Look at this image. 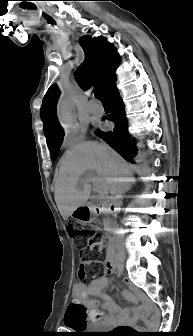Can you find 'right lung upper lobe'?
Here are the masks:
<instances>
[{"mask_svg": "<svg viewBox=\"0 0 193 336\" xmlns=\"http://www.w3.org/2000/svg\"><path fill=\"white\" fill-rule=\"evenodd\" d=\"M80 45L85 53V60L79 69L83 72H75L78 85L86 90L92 84L100 89L103 94L114 80V71L118 65L119 57L114 55V48L101 38L91 39L88 36L80 38ZM60 95L57 86L52 85L44 96L40 110L43 130L47 143L63 134V130L56 120V105Z\"/></svg>", "mask_w": 193, "mask_h": 336, "instance_id": "cb5924a9", "label": "right lung upper lobe"}]
</instances>
